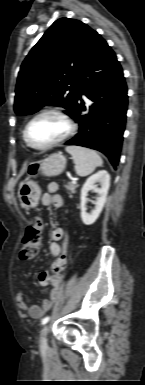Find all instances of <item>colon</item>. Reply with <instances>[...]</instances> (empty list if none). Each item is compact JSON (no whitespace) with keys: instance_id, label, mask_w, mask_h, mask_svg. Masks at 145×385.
<instances>
[{"instance_id":"1","label":"colon","mask_w":145,"mask_h":385,"mask_svg":"<svg viewBox=\"0 0 145 385\" xmlns=\"http://www.w3.org/2000/svg\"><path fill=\"white\" fill-rule=\"evenodd\" d=\"M38 164L33 163L29 166L28 172L30 176H35L38 172ZM43 226V221L40 217L35 219V222L26 228L23 240L22 248L20 251V259L23 261H31L37 255L39 244H40V234ZM65 267L64 257H61L58 261L53 264V272L61 273Z\"/></svg>"}]
</instances>
